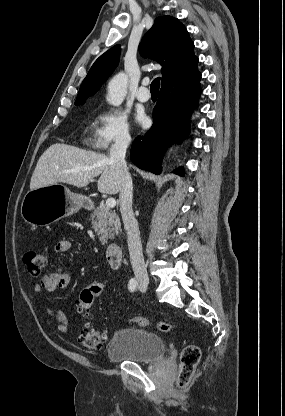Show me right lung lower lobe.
Here are the masks:
<instances>
[{
	"label": "right lung lower lobe",
	"mask_w": 285,
	"mask_h": 416,
	"mask_svg": "<svg viewBox=\"0 0 285 416\" xmlns=\"http://www.w3.org/2000/svg\"><path fill=\"white\" fill-rule=\"evenodd\" d=\"M199 71L161 87L153 110V125L144 136L137 137L131 147V160L141 169L161 172V160L173 140H182L188 131L186 118L197 105L201 93ZM184 119L179 121V119ZM182 175V171H176Z\"/></svg>",
	"instance_id": "98d812e1"
}]
</instances>
